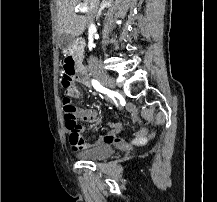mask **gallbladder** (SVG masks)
<instances>
[{
    "label": "gallbladder",
    "mask_w": 217,
    "mask_h": 202,
    "mask_svg": "<svg viewBox=\"0 0 217 202\" xmlns=\"http://www.w3.org/2000/svg\"><path fill=\"white\" fill-rule=\"evenodd\" d=\"M73 36L71 34H60L59 44L62 51H67L69 44H73Z\"/></svg>",
    "instance_id": "obj_1"
}]
</instances>
